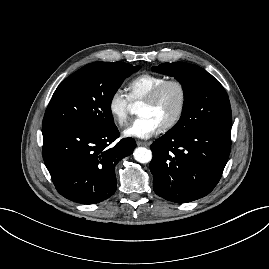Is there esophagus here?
Here are the masks:
<instances>
[{
  "label": "esophagus",
  "mask_w": 269,
  "mask_h": 269,
  "mask_svg": "<svg viewBox=\"0 0 269 269\" xmlns=\"http://www.w3.org/2000/svg\"><path fill=\"white\" fill-rule=\"evenodd\" d=\"M136 143L138 146H148L149 145V143L145 142V141H137Z\"/></svg>",
  "instance_id": "1"
}]
</instances>
